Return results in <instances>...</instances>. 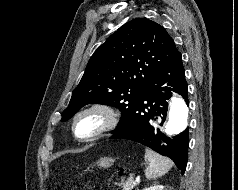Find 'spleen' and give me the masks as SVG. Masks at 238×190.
<instances>
[{"mask_svg":"<svg viewBox=\"0 0 238 190\" xmlns=\"http://www.w3.org/2000/svg\"><path fill=\"white\" fill-rule=\"evenodd\" d=\"M145 160L149 163L145 170V176L149 180L165 175L173 166V162L170 159L148 148L145 149Z\"/></svg>","mask_w":238,"mask_h":190,"instance_id":"spleen-1","label":"spleen"}]
</instances>
